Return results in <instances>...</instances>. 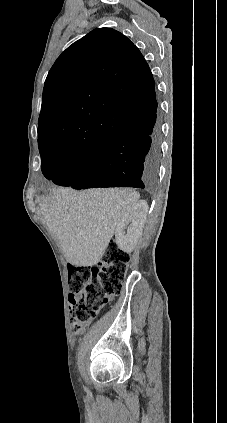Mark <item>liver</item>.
<instances>
[{
	"mask_svg": "<svg viewBox=\"0 0 227 423\" xmlns=\"http://www.w3.org/2000/svg\"><path fill=\"white\" fill-rule=\"evenodd\" d=\"M139 198L140 194L129 188H92L85 192L54 188L47 202L39 206L67 261L95 265L101 261L117 223Z\"/></svg>",
	"mask_w": 227,
	"mask_h": 423,
	"instance_id": "obj_1",
	"label": "liver"
}]
</instances>
